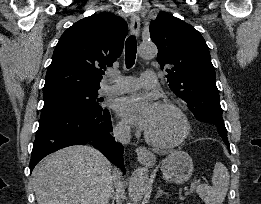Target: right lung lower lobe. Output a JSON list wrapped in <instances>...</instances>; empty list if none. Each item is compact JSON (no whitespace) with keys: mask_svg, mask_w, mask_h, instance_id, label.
<instances>
[{"mask_svg":"<svg viewBox=\"0 0 261 204\" xmlns=\"http://www.w3.org/2000/svg\"><path fill=\"white\" fill-rule=\"evenodd\" d=\"M110 113L101 106H62L42 110L33 144L30 171L46 155L89 142L124 172L123 146L110 135Z\"/></svg>","mask_w":261,"mask_h":204,"instance_id":"1","label":"right lung lower lobe"}]
</instances>
